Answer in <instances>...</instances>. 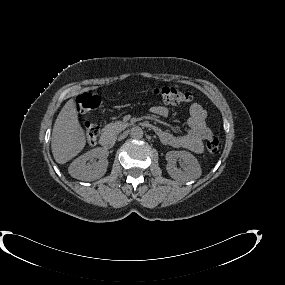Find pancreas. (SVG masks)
I'll return each instance as SVG.
<instances>
[{"instance_id": "obj_1", "label": "pancreas", "mask_w": 285, "mask_h": 285, "mask_svg": "<svg viewBox=\"0 0 285 285\" xmlns=\"http://www.w3.org/2000/svg\"><path fill=\"white\" fill-rule=\"evenodd\" d=\"M123 123L121 121H116L113 123H110L107 128L115 131V132H119L122 129Z\"/></svg>"}]
</instances>
